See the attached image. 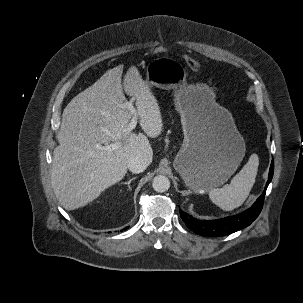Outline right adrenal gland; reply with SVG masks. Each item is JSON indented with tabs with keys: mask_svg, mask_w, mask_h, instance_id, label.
<instances>
[{
	"mask_svg": "<svg viewBox=\"0 0 303 303\" xmlns=\"http://www.w3.org/2000/svg\"><path fill=\"white\" fill-rule=\"evenodd\" d=\"M135 179H136V177H133V178H131L128 182H121V184L127 185V186H128V189L131 191L130 183H131L133 180H135Z\"/></svg>",
	"mask_w": 303,
	"mask_h": 303,
	"instance_id": "1",
	"label": "right adrenal gland"
}]
</instances>
